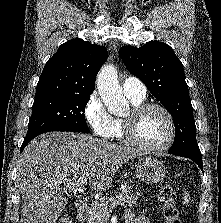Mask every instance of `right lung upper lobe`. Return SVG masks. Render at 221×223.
<instances>
[{
	"label": "right lung upper lobe",
	"mask_w": 221,
	"mask_h": 223,
	"mask_svg": "<svg viewBox=\"0 0 221 223\" xmlns=\"http://www.w3.org/2000/svg\"><path fill=\"white\" fill-rule=\"evenodd\" d=\"M104 46L82 39H72L62 44L50 58L37 84L35 100L60 95L91 94L95 78L107 60Z\"/></svg>",
	"instance_id": "right-lung-upper-lobe-1"
}]
</instances>
